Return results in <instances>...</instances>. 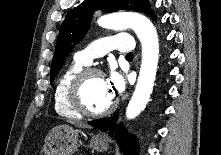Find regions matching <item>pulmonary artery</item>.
<instances>
[{"label":"pulmonary artery","instance_id":"e3ab8cb5","mask_svg":"<svg viewBox=\"0 0 221 155\" xmlns=\"http://www.w3.org/2000/svg\"><path fill=\"white\" fill-rule=\"evenodd\" d=\"M133 48L132 37L129 34L120 33L95 41L85 50L77 52L75 59L82 64L88 65L93 58L99 57L107 51L116 50L122 53H130Z\"/></svg>","mask_w":221,"mask_h":155}]
</instances>
